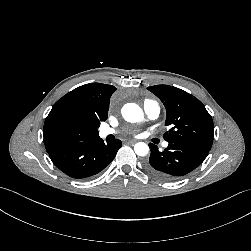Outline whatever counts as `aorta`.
Instances as JSON below:
<instances>
[{"mask_svg":"<svg viewBox=\"0 0 251 251\" xmlns=\"http://www.w3.org/2000/svg\"><path fill=\"white\" fill-rule=\"evenodd\" d=\"M122 116L127 122H141L143 120V111L137 104L128 103L122 108ZM134 151L138 156H146L149 152V147L144 142H138L134 145Z\"/></svg>","mask_w":251,"mask_h":251,"instance_id":"aorta-1","label":"aorta"}]
</instances>
